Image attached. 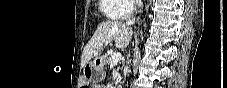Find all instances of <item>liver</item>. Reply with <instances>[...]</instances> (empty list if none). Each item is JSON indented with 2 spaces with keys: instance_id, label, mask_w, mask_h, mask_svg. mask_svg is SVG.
<instances>
[{
  "instance_id": "liver-1",
  "label": "liver",
  "mask_w": 227,
  "mask_h": 88,
  "mask_svg": "<svg viewBox=\"0 0 227 88\" xmlns=\"http://www.w3.org/2000/svg\"><path fill=\"white\" fill-rule=\"evenodd\" d=\"M132 30L121 22L104 21L100 23L83 50L82 63L85 65L95 55H98L111 41H115L118 48L124 49L128 46L132 38Z\"/></svg>"
}]
</instances>
